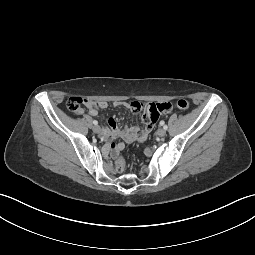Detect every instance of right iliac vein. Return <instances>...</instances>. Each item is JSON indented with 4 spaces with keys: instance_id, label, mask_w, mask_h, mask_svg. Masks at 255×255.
Returning <instances> with one entry per match:
<instances>
[{
    "instance_id": "right-iliac-vein-1",
    "label": "right iliac vein",
    "mask_w": 255,
    "mask_h": 255,
    "mask_svg": "<svg viewBox=\"0 0 255 255\" xmlns=\"http://www.w3.org/2000/svg\"><path fill=\"white\" fill-rule=\"evenodd\" d=\"M93 131H94L95 133H100V132H101V128H100L99 126H94V127H93Z\"/></svg>"
}]
</instances>
